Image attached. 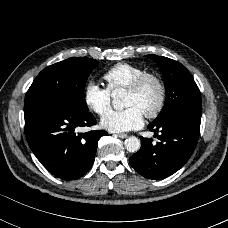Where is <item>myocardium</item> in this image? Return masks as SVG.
<instances>
[{"label": "myocardium", "instance_id": "1", "mask_svg": "<svg viewBox=\"0 0 228 228\" xmlns=\"http://www.w3.org/2000/svg\"><path fill=\"white\" fill-rule=\"evenodd\" d=\"M148 81H154L160 91L159 100L156 106L153 109L143 113L145 117L153 119L161 114L166 104L167 89L162 78L155 73L147 72L136 78L126 90L129 93H139Z\"/></svg>", "mask_w": 228, "mask_h": 228}]
</instances>
